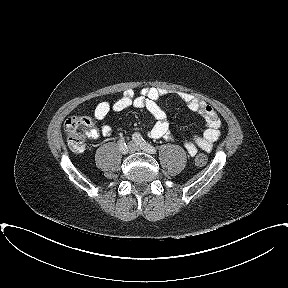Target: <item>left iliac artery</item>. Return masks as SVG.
Instances as JSON below:
<instances>
[{
  "label": "left iliac artery",
  "instance_id": "1",
  "mask_svg": "<svg viewBox=\"0 0 288 288\" xmlns=\"http://www.w3.org/2000/svg\"><path fill=\"white\" fill-rule=\"evenodd\" d=\"M134 142L141 147L144 151L155 154L157 152L156 148L148 144L139 133L133 134Z\"/></svg>",
  "mask_w": 288,
  "mask_h": 288
}]
</instances>
